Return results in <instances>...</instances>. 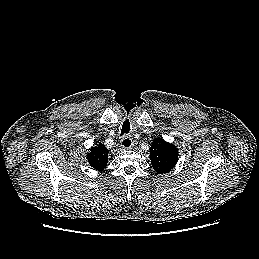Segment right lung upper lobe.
Returning a JSON list of instances; mask_svg holds the SVG:
<instances>
[{
    "label": "right lung upper lobe",
    "instance_id": "cb5924a9",
    "mask_svg": "<svg viewBox=\"0 0 259 259\" xmlns=\"http://www.w3.org/2000/svg\"><path fill=\"white\" fill-rule=\"evenodd\" d=\"M108 152V149L101 143L96 144L87 154V160L94 169L102 171L107 165Z\"/></svg>",
    "mask_w": 259,
    "mask_h": 259
}]
</instances>
